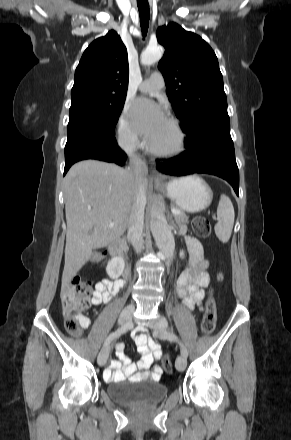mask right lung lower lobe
Instances as JSON below:
<instances>
[{
  "label": "right lung lower lobe",
  "instance_id": "right-lung-lower-lobe-1",
  "mask_svg": "<svg viewBox=\"0 0 291 440\" xmlns=\"http://www.w3.org/2000/svg\"><path fill=\"white\" fill-rule=\"evenodd\" d=\"M126 158V154L118 147L115 136L75 132L67 138L64 175L80 160L96 159L123 166Z\"/></svg>",
  "mask_w": 291,
  "mask_h": 440
}]
</instances>
